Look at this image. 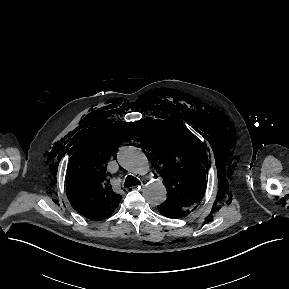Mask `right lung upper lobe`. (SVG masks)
Wrapping results in <instances>:
<instances>
[{"label": "right lung upper lobe", "instance_id": "obj_1", "mask_svg": "<svg viewBox=\"0 0 289 289\" xmlns=\"http://www.w3.org/2000/svg\"><path fill=\"white\" fill-rule=\"evenodd\" d=\"M130 123L115 122L89 132L76 146L67 172V196L72 207L91 220L112 214L121 196L109 185L107 160L130 134Z\"/></svg>", "mask_w": 289, "mask_h": 289}]
</instances>
